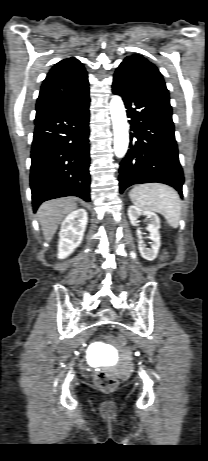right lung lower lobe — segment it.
I'll return each instance as SVG.
<instances>
[{"mask_svg":"<svg viewBox=\"0 0 208 461\" xmlns=\"http://www.w3.org/2000/svg\"><path fill=\"white\" fill-rule=\"evenodd\" d=\"M89 93L74 104L35 118L30 187L34 211L50 199L90 202Z\"/></svg>","mask_w":208,"mask_h":461,"instance_id":"obj_1","label":"right lung lower lobe"}]
</instances>
